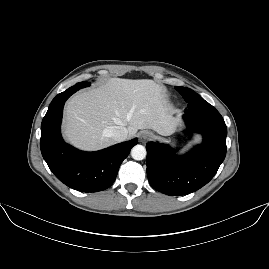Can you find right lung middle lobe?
Wrapping results in <instances>:
<instances>
[{"instance_id":"dd1d6c3e","label":"right lung middle lobe","mask_w":269,"mask_h":269,"mask_svg":"<svg viewBox=\"0 0 269 269\" xmlns=\"http://www.w3.org/2000/svg\"><path fill=\"white\" fill-rule=\"evenodd\" d=\"M87 82H80V83H77V84H85ZM88 85H84L83 87H87Z\"/></svg>"}]
</instances>
